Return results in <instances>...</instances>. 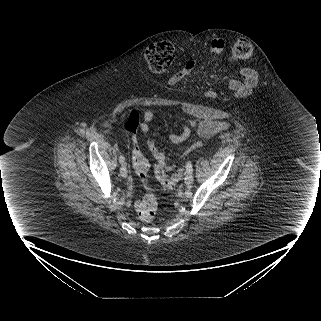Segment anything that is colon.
<instances>
[{
  "mask_svg": "<svg viewBox=\"0 0 321 321\" xmlns=\"http://www.w3.org/2000/svg\"><path fill=\"white\" fill-rule=\"evenodd\" d=\"M252 53V45L246 39H239L232 48L231 60L240 61L248 58ZM145 60L154 72H164L172 64L175 58V48L169 42H161L148 46L144 53ZM140 121V113L136 109H130L125 113L123 127L130 132L136 131ZM133 168L137 176L141 180H146L148 171V161L140 152L137 143L133 148ZM183 173L181 168L172 176H167L163 173H158V178L161 183L167 188H173L179 182ZM157 199L154 192L149 191L143 197L138 199L135 204L136 212L143 222H152L157 213Z\"/></svg>",
  "mask_w": 321,
  "mask_h": 321,
  "instance_id": "colon-1",
  "label": "colon"
}]
</instances>
